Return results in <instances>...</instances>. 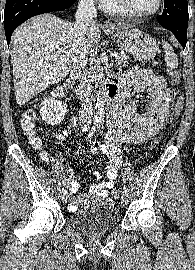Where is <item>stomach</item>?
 Instances as JSON below:
<instances>
[{"label":"stomach","instance_id":"0dacf381","mask_svg":"<svg viewBox=\"0 0 195 270\" xmlns=\"http://www.w3.org/2000/svg\"><path fill=\"white\" fill-rule=\"evenodd\" d=\"M106 31L123 50L139 61H149L158 52L156 40L139 29H123L116 26L115 29Z\"/></svg>","mask_w":195,"mask_h":270}]
</instances>
